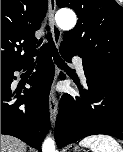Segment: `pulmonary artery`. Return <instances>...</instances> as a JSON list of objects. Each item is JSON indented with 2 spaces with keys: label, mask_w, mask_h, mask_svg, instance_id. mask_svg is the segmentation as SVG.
<instances>
[{
  "label": "pulmonary artery",
  "mask_w": 123,
  "mask_h": 152,
  "mask_svg": "<svg viewBox=\"0 0 123 152\" xmlns=\"http://www.w3.org/2000/svg\"><path fill=\"white\" fill-rule=\"evenodd\" d=\"M74 64L76 66L77 72L81 78H85L84 69L82 61L79 58H74Z\"/></svg>",
  "instance_id": "e3ab8cb5"
}]
</instances>
